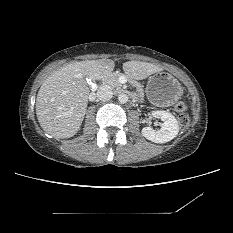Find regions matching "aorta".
<instances>
[{
	"label": "aorta",
	"instance_id": "762f6f07",
	"mask_svg": "<svg viewBox=\"0 0 233 233\" xmlns=\"http://www.w3.org/2000/svg\"><path fill=\"white\" fill-rule=\"evenodd\" d=\"M118 101L122 104L127 103L128 102V95L125 93H121L118 95Z\"/></svg>",
	"mask_w": 233,
	"mask_h": 233
}]
</instances>
